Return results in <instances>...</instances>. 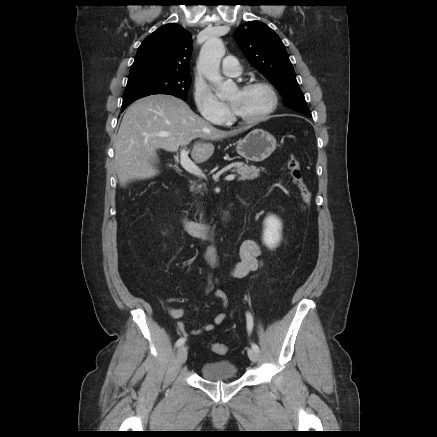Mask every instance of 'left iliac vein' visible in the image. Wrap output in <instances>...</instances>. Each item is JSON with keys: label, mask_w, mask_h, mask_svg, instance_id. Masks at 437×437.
I'll return each mask as SVG.
<instances>
[{"label": "left iliac vein", "mask_w": 437, "mask_h": 437, "mask_svg": "<svg viewBox=\"0 0 437 437\" xmlns=\"http://www.w3.org/2000/svg\"><path fill=\"white\" fill-rule=\"evenodd\" d=\"M248 356L250 360L255 363L258 361L259 353L254 349H248Z\"/></svg>", "instance_id": "1"}]
</instances>
